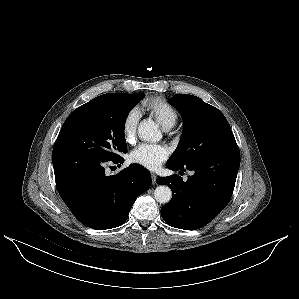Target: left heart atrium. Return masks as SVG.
Returning a JSON list of instances; mask_svg holds the SVG:
<instances>
[{"instance_id":"obj_1","label":"left heart atrium","mask_w":299,"mask_h":299,"mask_svg":"<svg viewBox=\"0 0 299 299\" xmlns=\"http://www.w3.org/2000/svg\"><path fill=\"white\" fill-rule=\"evenodd\" d=\"M169 155L168 148L162 144H141L130 154V160L149 170H156Z\"/></svg>"}]
</instances>
